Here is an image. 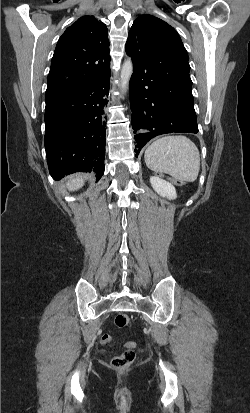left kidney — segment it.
<instances>
[{
    "label": "left kidney",
    "instance_id": "left-kidney-1",
    "mask_svg": "<svg viewBox=\"0 0 250 413\" xmlns=\"http://www.w3.org/2000/svg\"><path fill=\"white\" fill-rule=\"evenodd\" d=\"M150 183L155 192H157V194H159L160 196L168 198L169 200L175 199L177 197L175 187L171 183L159 178L158 176H151Z\"/></svg>",
    "mask_w": 250,
    "mask_h": 413
}]
</instances>
